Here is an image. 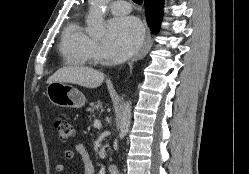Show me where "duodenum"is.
<instances>
[{"label":"duodenum","mask_w":249,"mask_h":174,"mask_svg":"<svg viewBox=\"0 0 249 174\" xmlns=\"http://www.w3.org/2000/svg\"><path fill=\"white\" fill-rule=\"evenodd\" d=\"M107 170L109 174H119V168L116 164H109Z\"/></svg>","instance_id":"duodenum-1"}]
</instances>
